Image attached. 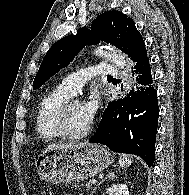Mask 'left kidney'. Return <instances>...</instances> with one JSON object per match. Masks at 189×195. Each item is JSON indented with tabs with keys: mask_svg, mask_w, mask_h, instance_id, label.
Returning a JSON list of instances; mask_svg holds the SVG:
<instances>
[{
	"mask_svg": "<svg viewBox=\"0 0 189 195\" xmlns=\"http://www.w3.org/2000/svg\"><path fill=\"white\" fill-rule=\"evenodd\" d=\"M106 193L108 195H129V190L125 184H114L106 191Z\"/></svg>",
	"mask_w": 189,
	"mask_h": 195,
	"instance_id": "left-kidney-1",
	"label": "left kidney"
}]
</instances>
